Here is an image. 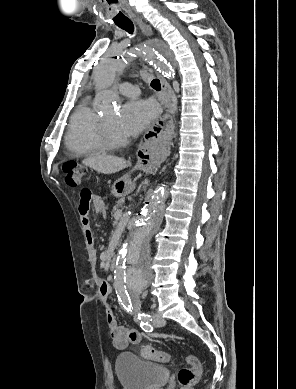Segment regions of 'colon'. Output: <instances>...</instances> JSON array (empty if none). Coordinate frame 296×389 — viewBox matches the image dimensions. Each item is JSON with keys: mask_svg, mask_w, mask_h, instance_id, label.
I'll return each instance as SVG.
<instances>
[{"mask_svg": "<svg viewBox=\"0 0 296 389\" xmlns=\"http://www.w3.org/2000/svg\"><path fill=\"white\" fill-rule=\"evenodd\" d=\"M63 172L65 182L70 187L80 186L85 177V169L74 161L65 163ZM140 355L143 359L159 363H167L170 360V356L167 352L156 350L151 346H144L140 351ZM185 361L189 367L179 370L178 382L181 389H193L202 372L201 362L199 358L194 355H188L185 358Z\"/></svg>", "mask_w": 296, "mask_h": 389, "instance_id": "5ec220e1", "label": "colon"}]
</instances>
